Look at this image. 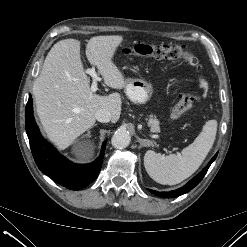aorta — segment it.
Segmentation results:
<instances>
[{
    "label": "aorta",
    "instance_id": "1",
    "mask_svg": "<svg viewBox=\"0 0 247 247\" xmlns=\"http://www.w3.org/2000/svg\"><path fill=\"white\" fill-rule=\"evenodd\" d=\"M130 141L131 136L129 132L125 130L116 131L111 138L112 146L116 149L126 148L130 144Z\"/></svg>",
    "mask_w": 247,
    "mask_h": 247
}]
</instances>
